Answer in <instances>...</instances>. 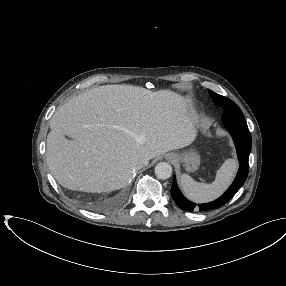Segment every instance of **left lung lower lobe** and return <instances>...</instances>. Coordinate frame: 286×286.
I'll return each mask as SVG.
<instances>
[{
    "label": "left lung lower lobe",
    "mask_w": 286,
    "mask_h": 286,
    "mask_svg": "<svg viewBox=\"0 0 286 286\" xmlns=\"http://www.w3.org/2000/svg\"><path fill=\"white\" fill-rule=\"evenodd\" d=\"M223 123L230 132L237 150L239 160V170L236 178L229 189L218 199L206 204H195L187 200L180 192L174 177L171 187V196L175 203L186 211H208L217 209L227 203L244 184L248 175V160L251 151V135L244 119L239 115H223Z\"/></svg>",
    "instance_id": "0a47b994"
}]
</instances>
